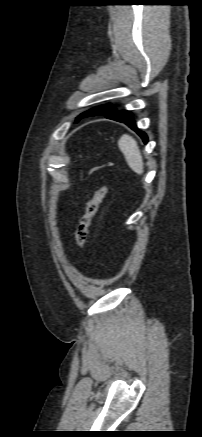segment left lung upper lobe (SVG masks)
<instances>
[{
  "label": "left lung upper lobe",
  "instance_id": "left-lung-upper-lobe-1",
  "mask_svg": "<svg viewBox=\"0 0 202 437\" xmlns=\"http://www.w3.org/2000/svg\"><path fill=\"white\" fill-rule=\"evenodd\" d=\"M114 110L115 109L113 107H111L109 104L95 107V108H92V109L82 113L81 115H79L76 118V122L81 118H85V117H89V116L106 115Z\"/></svg>",
  "mask_w": 202,
  "mask_h": 437
}]
</instances>
